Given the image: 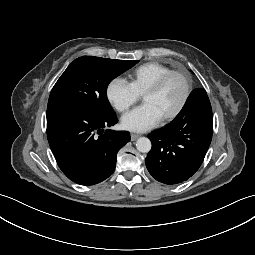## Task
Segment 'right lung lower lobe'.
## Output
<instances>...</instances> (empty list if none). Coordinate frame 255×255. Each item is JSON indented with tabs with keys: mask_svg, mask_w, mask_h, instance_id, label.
Instances as JSON below:
<instances>
[{
	"mask_svg": "<svg viewBox=\"0 0 255 255\" xmlns=\"http://www.w3.org/2000/svg\"><path fill=\"white\" fill-rule=\"evenodd\" d=\"M117 122L115 113L103 116L71 105L47 107L48 142L70 180L94 185L114 172L118 151L130 141L128 132L103 130Z\"/></svg>",
	"mask_w": 255,
	"mask_h": 255,
	"instance_id": "1",
	"label": "right lung lower lobe"
}]
</instances>
